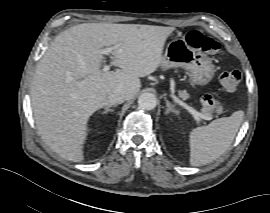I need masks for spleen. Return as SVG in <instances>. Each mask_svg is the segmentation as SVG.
Instances as JSON below:
<instances>
[{
    "label": "spleen",
    "mask_w": 270,
    "mask_h": 213,
    "mask_svg": "<svg viewBox=\"0 0 270 213\" xmlns=\"http://www.w3.org/2000/svg\"><path fill=\"white\" fill-rule=\"evenodd\" d=\"M243 116V111H236L229 117L192 129L189 135L190 164L201 166L220 157L233 142Z\"/></svg>",
    "instance_id": "obj_1"
}]
</instances>
